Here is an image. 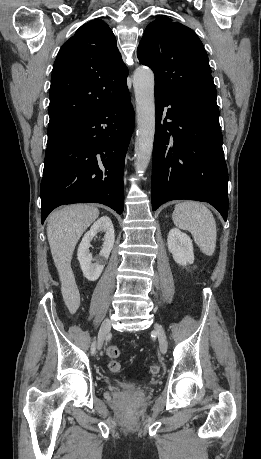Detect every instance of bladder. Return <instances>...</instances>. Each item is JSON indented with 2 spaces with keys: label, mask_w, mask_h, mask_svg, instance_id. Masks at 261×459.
<instances>
[{
  "label": "bladder",
  "mask_w": 261,
  "mask_h": 459,
  "mask_svg": "<svg viewBox=\"0 0 261 459\" xmlns=\"http://www.w3.org/2000/svg\"><path fill=\"white\" fill-rule=\"evenodd\" d=\"M119 386L123 389H134L135 388V384L134 383H119Z\"/></svg>",
  "instance_id": "bladder-1"
}]
</instances>
